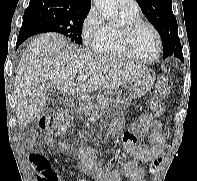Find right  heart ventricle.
Here are the masks:
<instances>
[{
    "label": "right heart ventricle",
    "mask_w": 197,
    "mask_h": 181,
    "mask_svg": "<svg viewBox=\"0 0 197 181\" xmlns=\"http://www.w3.org/2000/svg\"><path fill=\"white\" fill-rule=\"evenodd\" d=\"M121 14L122 21L119 24L107 25L102 41L95 48L99 55L110 58H130L121 46L119 29L122 23L140 18V12L139 9L135 11L121 10Z\"/></svg>",
    "instance_id": "e07e8e85"
}]
</instances>
